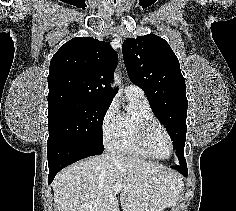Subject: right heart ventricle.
<instances>
[{"label":"right heart ventricle","instance_id":"obj_1","mask_svg":"<svg viewBox=\"0 0 236 211\" xmlns=\"http://www.w3.org/2000/svg\"><path fill=\"white\" fill-rule=\"evenodd\" d=\"M127 100L129 102L128 110L122 115H118L117 131L109 148L117 153L150 158L134 144L133 133L139 124L157 122L155 114L146 99L127 98Z\"/></svg>","mask_w":236,"mask_h":211}]
</instances>
